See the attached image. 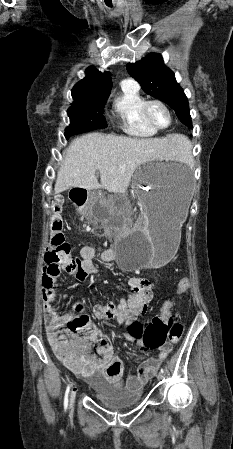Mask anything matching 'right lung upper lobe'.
I'll use <instances>...</instances> for the list:
<instances>
[{"instance_id":"1","label":"right lung upper lobe","mask_w":233,"mask_h":449,"mask_svg":"<svg viewBox=\"0 0 233 449\" xmlns=\"http://www.w3.org/2000/svg\"><path fill=\"white\" fill-rule=\"evenodd\" d=\"M112 80L109 72L101 73L95 67L86 69V77L75 84L73 98L110 94Z\"/></svg>"}]
</instances>
